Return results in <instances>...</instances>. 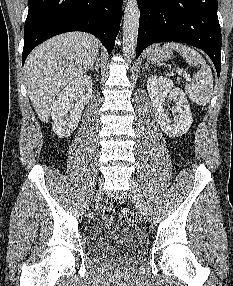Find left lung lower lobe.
Masks as SVG:
<instances>
[{"label": "left lung lower lobe", "mask_w": 233, "mask_h": 286, "mask_svg": "<svg viewBox=\"0 0 233 286\" xmlns=\"http://www.w3.org/2000/svg\"><path fill=\"white\" fill-rule=\"evenodd\" d=\"M140 20L136 57L157 42H182L205 51L218 77L221 70V29L217 0H138Z\"/></svg>", "instance_id": "1"}]
</instances>
